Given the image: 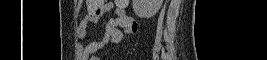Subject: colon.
Listing matches in <instances>:
<instances>
[{
	"label": "colon",
	"mask_w": 267,
	"mask_h": 60,
	"mask_svg": "<svg viewBox=\"0 0 267 60\" xmlns=\"http://www.w3.org/2000/svg\"><path fill=\"white\" fill-rule=\"evenodd\" d=\"M120 6L127 4V0H118L116 1ZM87 12L88 15L95 16L99 15L104 10V0H87ZM118 26L125 27L126 23H118ZM132 28H135V23L132 24Z\"/></svg>",
	"instance_id": "colon-1"
}]
</instances>
